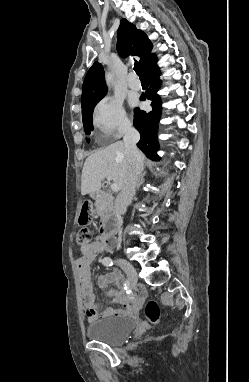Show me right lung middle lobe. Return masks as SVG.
I'll use <instances>...</instances> for the list:
<instances>
[{
    "label": "right lung middle lobe",
    "mask_w": 249,
    "mask_h": 382,
    "mask_svg": "<svg viewBox=\"0 0 249 382\" xmlns=\"http://www.w3.org/2000/svg\"><path fill=\"white\" fill-rule=\"evenodd\" d=\"M99 100L100 99L93 101L92 103L89 104V106L84 111H82L83 124H84V129L86 134H90L91 129L93 128V125H92L93 108ZM87 141L89 142L90 139H87Z\"/></svg>",
    "instance_id": "right-lung-middle-lobe-1"
}]
</instances>
